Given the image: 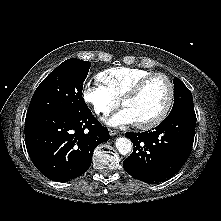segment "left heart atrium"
Returning <instances> with one entry per match:
<instances>
[{
	"instance_id": "1",
	"label": "left heart atrium",
	"mask_w": 221,
	"mask_h": 221,
	"mask_svg": "<svg viewBox=\"0 0 221 221\" xmlns=\"http://www.w3.org/2000/svg\"><path fill=\"white\" fill-rule=\"evenodd\" d=\"M106 123L110 126H123L135 123L134 117L131 112L124 108L118 113L114 114L106 120Z\"/></svg>"
}]
</instances>
